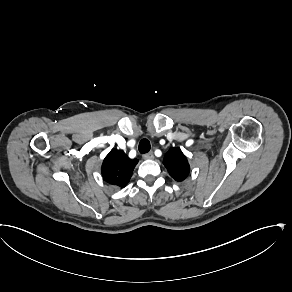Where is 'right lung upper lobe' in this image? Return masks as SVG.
<instances>
[{
	"label": "right lung upper lobe",
	"instance_id": "1",
	"mask_svg": "<svg viewBox=\"0 0 292 292\" xmlns=\"http://www.w3.org/2000/svg\"><path fill=\"white\" fill-rule=\"evenodd\" d=\"M137 163V159L132 160L123 151L113 149L103 161L102 176L107 183L123 188L129 182Z\"/></svg>",
	"mask_w": 292,
	"mask_h": 292
}]
</instances>
